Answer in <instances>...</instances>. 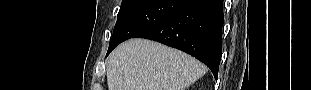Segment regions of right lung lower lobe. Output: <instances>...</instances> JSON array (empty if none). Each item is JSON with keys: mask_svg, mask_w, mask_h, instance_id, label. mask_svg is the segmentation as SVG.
Here are the masks:
<instances>
[{"mask_svg": "<svg viewBox=\"0 0 311 90\" xmlns=\"http://www.w3.org/2000/svg\"><path fill=\"white\" fill-rule=\"evenodd\" d=\"M223 21V0H187L163 21L136 37L155 40L194 56L217 79Z\"/></svg>", "mask_w": 311, "mask_h": 90, "instance_id": "obj_1", "label": "right lung lower lobe"}]
</instances>
